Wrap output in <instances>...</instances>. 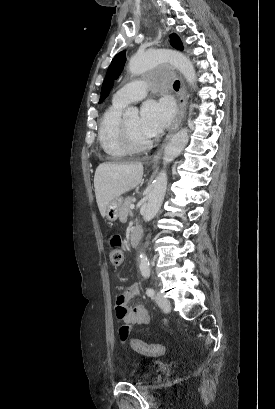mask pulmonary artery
Listing matches in <instances>:
<instances>
[{
	"label": "pulmonary artery",
	"mask_w": 275,
	"mask_h": 409,
	"mask_svg": "<svg viewBox=\"0 0 275 409\" xmlns=\"http://www.w3.org/2000/svg\"><path fill=\"white\" fill-rule=\"evenodd\" d=\"M144 85L150 87L152 82L146 80ZM117 91L118 92L113 97V103L122 107L127 106L132 101L141 100L145 96V87L140 85L138 79H133L131 81V87L128 85H119Z\"/></svg>",
	"instance_id": "pulmonary-artery-1"
}]
</instances>
